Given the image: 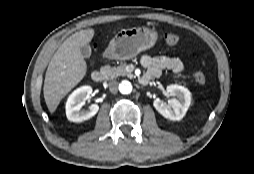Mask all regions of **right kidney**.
Masks as SVG:
<instances>
[{
	"mask_svg": "<svg viewBox=\"0 0 254 174\" xmlns=\"http://www.w3.org/2000/svg\"><path fill=\"white\" fill-rule=\"evenodd\" d=\"M92 87L81 86L74 90L66 102V116L69 121L82 122L93 117L99 110L97 104H92L87 110H82L84 99L92 94Z\"/></svg>",
	"mask_w": 254,
	"mask_h": 174,
	"instance_id": "right-kidney-1",
	"label": "right kidney"
}]
</instances>
